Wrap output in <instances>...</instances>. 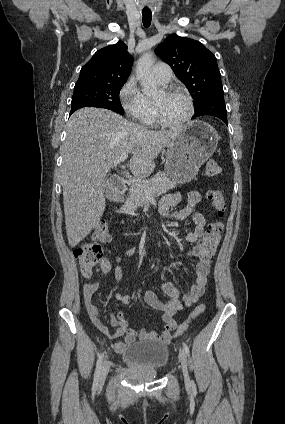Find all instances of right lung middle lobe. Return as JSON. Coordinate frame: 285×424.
Returning a JSON list of instances; mask_svg holds the SVG:
<instances>
[{
    "instance_id": "1",
    "label": "right lung middle lobe",
    "mask_w": 285,
    "mask_h": 424,
    "mask_svg": "<svg viewBox=\"0 0 285 424\" xmlns=\"http://www.w3.org/2000/svg\"><path fill=\"white\" fill-rule=\"evenodd\" d=\"M125 82L83 84L74 87L71 106L86 105L91 107L106 108L123 114L119 93Z\"/></svg>"
}]
</instances>
